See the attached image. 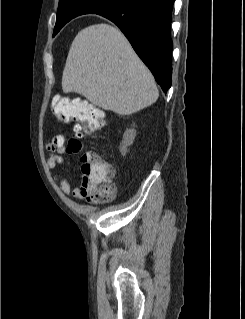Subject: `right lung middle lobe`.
<instances>
[{
    "label": "right lung middle lobe",
    "mask_w": 245,
    "mask_h": 319,
    "mask_svg": "<svg viewBox=\"0 0 245 319\" xmlns=\"http://www.w3.org/2000/svg\"><path fill=\"white\" fill-rule=\"evenodd\" d=\"M124 0H83V2L80 3L81 7L91 13H99L101 11H104L106 9L112 8ZM66 2H59L58 12H57V18L62 17V11L63 7L65 6ZM57 21V19H56ZM62 27H58L55 25L54 28V35L61 29Z\"/></svg>",
    "instance_id": "right-lung-middle-lobe-1"
}]
</instances>
